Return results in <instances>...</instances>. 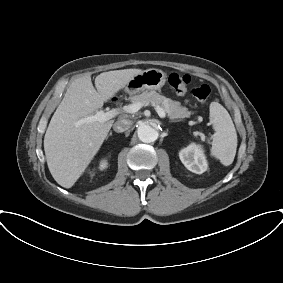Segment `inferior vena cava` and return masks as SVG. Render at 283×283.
<instances>
[{"label":"inferior vena cava","mask_w":283,"mask_h":283,"mask_svg":"<svg viewBox=\"0 0 283 283\" xmlns=\"http://www.w3.org/2000/svg\"><path fill=\"white\" fill-rule=\"evenodd\" d=\"M132 126V122L128 119H119L113 125V130L117 133L127 131Z\"/></svg>","instance_id":"obj_1"}]
</instances>
